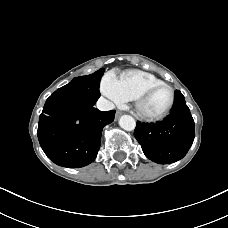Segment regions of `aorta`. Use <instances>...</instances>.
<instances>
[{
	"label": "aorta",
	"instance_id": "obj_1",
	"mask_svg": "<svg viewBox=\"0 0 228 228\" xmlns=\"http://www.w3.org/2000/svg\"><path fill=\"white\" fill-rule=\"evenodd\" d=\"M119 125L126 131H133L136 127V121L130 115H123L119 119Z\"/></svg>",
	"mask_w": 228,
	"mask_h": 228
}]
</instances>
